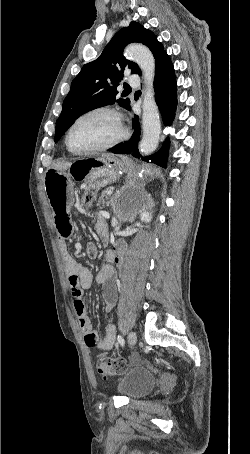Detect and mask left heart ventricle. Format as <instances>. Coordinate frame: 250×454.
I'll return each instance as SVG.
<instances>
[{
    "instance_id": "left-heart-ventricle-1",
    "label": "left heart ventricle",
    "mask_w": 250,
    "mask_h": 454,
    "mask_svg": "<svg viewBox=\"0 0 250 454\" xmlns=\"http://www.w3.org/2000/svg\"><path fill=\"white\" fill-rule=\"evenodd\" d=\"M119 133L115 118L107 113H97L81 120L73 129L70 142L78 150L103 145Z\"/></svg>"
}]
</instances>
